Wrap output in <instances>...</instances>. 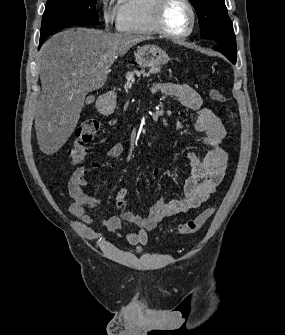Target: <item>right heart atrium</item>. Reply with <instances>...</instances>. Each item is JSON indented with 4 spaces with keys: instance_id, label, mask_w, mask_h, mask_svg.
<instances>
[{
    "instance_id": "d8ad5b80",
    "label": "right heart atrium",
    "mask_w": 285,
    "mask_h": 335,
    "mask_svg": "<svg viewBox=\"0 0 285 335\" xmlns=\"http://www.w3.org/2000/svg\"><path fill=\"white\" fill-rule=\"evenodd\" d=\"M101 17L106 27L119 21V9L111 2L105 1L101 6Z\"/></svg>"
}]
</instances>
